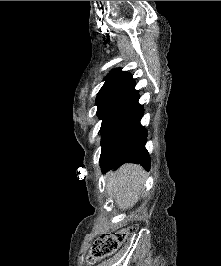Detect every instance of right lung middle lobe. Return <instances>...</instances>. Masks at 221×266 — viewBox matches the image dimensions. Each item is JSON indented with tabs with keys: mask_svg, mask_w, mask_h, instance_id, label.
<instances>
[{
	"mask_svg": "<svg viewBox=\"0 0 221 266\" xmlns=\"http://www.w3.org/2000/svg\"><path fill=\"white\" fill-rule=\"evenodd\" d=\"M139 97L134 87H118L99 91L97 114L102 119L101 145L111 136L125 114Z\"/></svg>",
	"mask_w": 221,
	"mask_h": 266,
	"instance_id": "1",
	"label": "right lung middle lobe"
}]
</instances>
